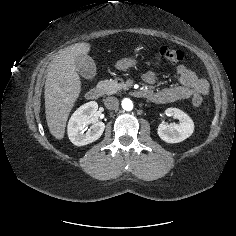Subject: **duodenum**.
I'll use <instances>...</instances> for the list:
<instances>
[{
    "label": "duodenum",
    "instance_id": "1",
    "mask_svg": "<svg viewBox=\"0 0 236 236\" xmlns=\"http://www.w3.org/2000/svg\"><path fill=\"white\" fill-rule=\"evenodd\" d=\"M103 92H104V89L102 86L93 87L87 91L86 98L91 101L97 100L102 96ZM136 93L142 96L145 94V91L137 90Z\"/></svg>",
    "mask_w": 236,
    "mask_h": 236
}]
</instances>
